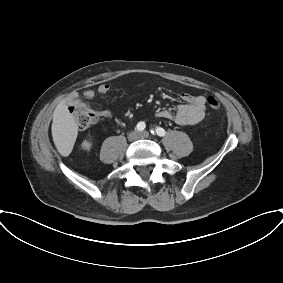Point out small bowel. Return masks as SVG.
<instances>
[{
  "label": "small bowel",
  "instance_id": "c3829d8e",
  "mask_svg": "<svg viewBox=\"0 0 283 283\" xmlns=\"http://www.w3.org/2000/svg\"><path fill=\"white\" fill-rule=\"evenodd\" d=\"M110 86L108 84H101L97 90L85 89L79 96L77 94L71 95V102L76 105L88 106L96 94L105 95L109 92ZM183 100V104H180L175 114L169 110H161L158 112V116L162 119L174 120L180 125H195L199 123L205 116L206 112V98L202 95H193L189 93H182L180 95ZM99 116L110 119L112 118V112L109 110H102L98 112Z\"/></svg>",
  "mask_w": 283,
  "mask_h": 283
}]
</instances>
